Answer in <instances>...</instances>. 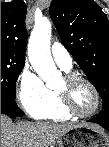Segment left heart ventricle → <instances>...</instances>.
Segmentation results:
<instances>
[{"label":"left heart ventricle","instance_id":"b2bd125f","mask_svg":"<svg viewBox=\"0 0 109 147\" xmlns=\"http://www.w3.org/2000/svg\"><path fill=\"white\" fill-rule=\"evenodd\" d=\"M65 86V81H63L58 90H63ZM73 100L76 108L82 113L90 112L95 105V96L84 83H78L73 88Z\"/></svg>","mask_w":109,"mask_h":147}]
</instances>
